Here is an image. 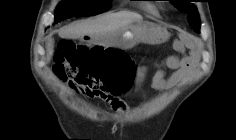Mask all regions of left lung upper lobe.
I'll use <instances>...</instances> for the list:
<instances>
[{"label": "left lung upper lobe", "instance_id": "left-lung-upper-lobe-1", "mask_svg": "<svg viewBox=\"0 0 236 140\" xmlns=\"http://www.w3.org/2000/svg\"><path fill=\"white\" fill-rule=\"evenodd\" d=\"M174 6L182 12L188 14V21L190 26L195 32L199 33L200 30V18L195 5L189 2V0H170Z\"/></svg>", "mask_w": 236, "mask_h": 140}]
</instances>
